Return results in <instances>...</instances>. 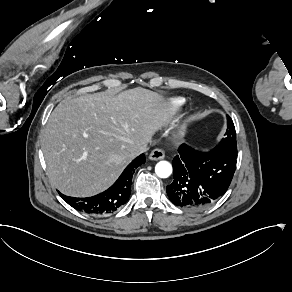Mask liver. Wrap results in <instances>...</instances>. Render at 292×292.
Segmentation results:
<instances>
[{
  "label": "liver",
  "mask_w": 292,
  "mask_h": 292,
  "mask_svg": "<svg viewBox=\"0 0 292 292\" xmlns=\"http://www.w3.org/2000/svg\"><path fill=\"white\" fill-rule=\"evenodd\" d=\"M170 102L137 87L63 100L43 130L41 148L51 183L63 194L90 197L109 188L147 144L168 125Z\"/></svg>",
  "instance_id": "6515ba94"
}]
</instances>
